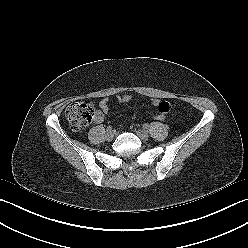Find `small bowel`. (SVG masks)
Instances as JSON below:
<instances>
[{
	"instance_id": "1",
	"label": "small bowel",
	"mask_w": 248,
	"mask_h": 248,
	"mask_svg": "<svg viewBox=\"0 0 248 248\" xmlns=\"http://www.w3.org/2000/svg\"><path fill=\"white\" fill-rule=\"evenodd\" d=\"M117 100L120 103L127 104L132 101V96L129 94L119 95L117 96ZM108 103H109V100L107 98L102 99L100 101L99 110L95 112L94 117H93L94 122L96 124L102 123L104 121L105 115L109 113ZM152 106L155 107L161 114H167L171 110V106L168 102L157 100V99L152 101Z\"/></svg>"
}]
</instances>
